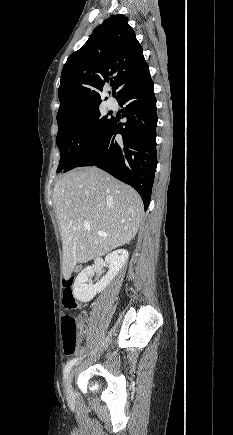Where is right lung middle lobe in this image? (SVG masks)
I'll return each mask as SVG.
<instances>
[{"mask_svg": "<svg viewBox=\"0 0 233 435\" xmlns=\"http://www.w3.org/2000/svg\"><path fill=\"white\" fill-rule=\"evenodd\" d=\"M57 146L60 162L57 172L77 167L105 136L113 118L102 117L99 107L75 116L57 119Z\"/></svg>", "mask_w": 233, "mask_h": 435, "instance_id": "obj_1", "label": "right lung middle lobe"}]
</instances>
